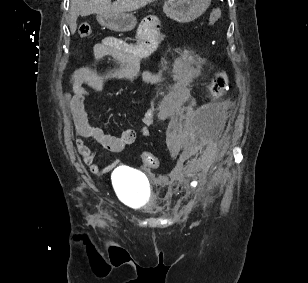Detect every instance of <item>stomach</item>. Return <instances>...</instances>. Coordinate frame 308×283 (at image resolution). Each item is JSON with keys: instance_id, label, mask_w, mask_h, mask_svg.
I'll list each match as a JSON object with an SVG mask.
<instances>
[{"instance_id": "stomach-1", "label": "stomach", "mask_w": 308, "mask_h": 283, "mask_svg": "<svg viewBox=\"0 0 308 283\" xmlns=\"http://www.w3.org/2000/svg\"><path fill=\"white\" fill-rule=\"evenodd\" d=\"M211 0H166L165 14L180 23L194 21L209 7ZM98 22L112 31H131L136 26V18L126 13H102L97 16Z\"/></svg>"}]
</instances>
